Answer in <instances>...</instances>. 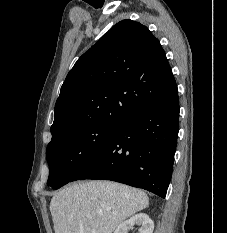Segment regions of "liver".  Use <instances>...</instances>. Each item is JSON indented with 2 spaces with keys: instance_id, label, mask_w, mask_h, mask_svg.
Here are the masks:
<instances>
[{
  "instance_id": "1",
  "label": "liver",
  "mask_w": 227,
  "mask_h": 233,
  "mask_svg": "<svg viewBox=\"0 0 227 233\" xmlns=\"http://www.w3.org/2000/svg\"><path fill=\"white\" fill-rule=\"evenodd\" d=\"M148 204L142 190L111 181H87L54 194L50 211L55 233H112Z\"/></svg>"
}]
</instances>
